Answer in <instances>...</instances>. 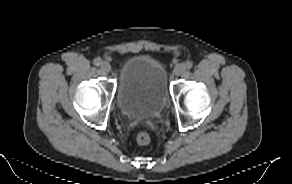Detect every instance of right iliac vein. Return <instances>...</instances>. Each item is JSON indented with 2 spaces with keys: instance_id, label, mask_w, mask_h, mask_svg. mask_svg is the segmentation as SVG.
Returning <instances> with one entry per match:
<instances>
[{
  "instance_id": "obj_1",
  "label": "right iliac vein",
  "mask_w": 292,
  "mask_h": 184,
  "mask_svg": "<svg viewBox=\"0 0 292 184\" xmlns=\"http://www.w3.org/2000/svg\"><path fill=\"white\" fill-rule=\"evenodd\" d=\"M101 69L104 71V72H110L111 71V66L108 62L104 61L101 63Z\"/></svg>"
}]
</instances>
